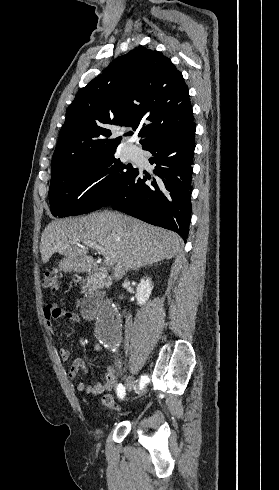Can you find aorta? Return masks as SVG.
I'll list each match as a JSON object with an SVG mask.
<instances>
[{
    "label": "aorta",
    "mask_w": 279,
    "mask_h": 490,
    "mask_svg": "<svg viewBox=\"0 0 279 490\" xmlns=\"http://www.w3.org/2000/svg\"><path fill=\"white\" fill-rule=\"evenodd\" d=\"M98 337L108 344L116 342L121 334V319L114 305L103 304L98 311L96 322Z\"/></svg>",
    "instance_id": "1"
}]
</instances>
